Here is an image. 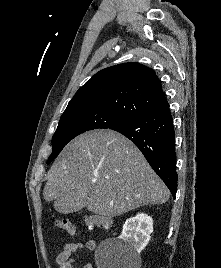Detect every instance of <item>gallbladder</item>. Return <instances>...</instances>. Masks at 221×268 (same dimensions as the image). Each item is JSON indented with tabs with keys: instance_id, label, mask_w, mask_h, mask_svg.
Returning <instances> with one entry per match:
<instances>
[{
	"instance_id": "gallbladder-1",
	"label": "gallbladder",
	"mask_w": 221,
	"mask_h": 268,
	"mask_svg": "<svg viewBox=\"0 0 221 268\" xmlns=\"http://www.w3.org/2000/svg\"><path fill=\"white\" fill-rule=\"evenodd\" d=\"M85 199H57L55 202V209L58 213H74L84 207Z\"/></svg>"
}]
</instances>
